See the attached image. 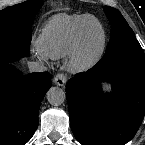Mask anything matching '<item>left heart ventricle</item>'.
I'll return each mask as SVG.
<instances>
[{"instance_id": "left-heart-ventricle-1", "label": "left heart ventricle", "mask_w": 145, "mask_h": 145, "mask_svg": "<svg viewBox=\"0 0 145 145\" xmlns=\"http://www.w3.org/2000/svg\"><path fill=\"white\" fill-rule=\"evenodd\" d=\"M87 42L90 47L94 46V44L99 39V30L95 23H91L88 25L87 34H86Z\"/></svg>"}]
</instances>
